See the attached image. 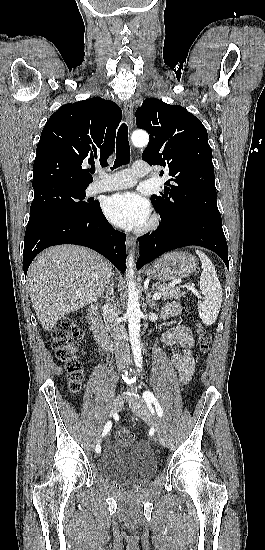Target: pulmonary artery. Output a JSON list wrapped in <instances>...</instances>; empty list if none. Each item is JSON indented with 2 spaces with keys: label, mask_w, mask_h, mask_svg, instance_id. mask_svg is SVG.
<instances>
[{
  "label": "pulmonary artery",
  "mask_w": 265,
  "mask_h": 550,
  "mask_svg": "<svg viewBox=\"0 0 265 550\" xmlns=\"http://www.w3.org/2000/svg\"><path fill=\"white\" fill-rule=\"evenodd\" d=\"M149 173L148 168L143 161H136L132 169H125L119 172L113 173L108 176V179H101L92 183L87 192L91 195L101 192L121 190L132 187L136 184L138 178L145 176ZM101 178L107 176L101 174Z\"/></svg>",
  "instance_id": "pulmonary-artery-1"
}]
</instances>
